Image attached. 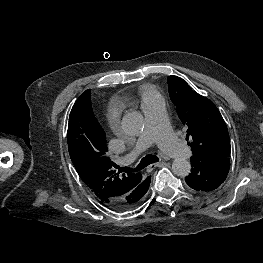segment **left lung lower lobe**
<instances>
[{"instance_id":"1","label":"left lung lower lobe","mask_w":263,"mask_h":263,"mask_svg":"<svg viewBox=\"0 0 263 263\" xmlns=\"http://www.w3.org/2000/svg\"><path fill=\"white\" fill-rule=\"evenodd\" d=\"M191 166V173L185 178L186 183L198 192H210L225 181L230 168V159L229 157L211 160L191 158Z\"/></svg>"}]
</instances>
